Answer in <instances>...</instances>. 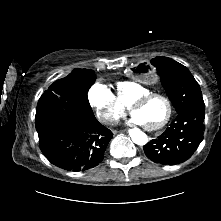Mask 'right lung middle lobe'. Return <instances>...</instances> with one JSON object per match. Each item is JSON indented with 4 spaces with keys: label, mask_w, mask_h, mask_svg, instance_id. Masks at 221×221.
Returning a JSON list of instances; mask_svg holds the SVG:
<instances>
[{
    "label": "right lung middle lobe",
    "mask_w": 221,
    "mask_h": 221,
    "mask_svg": "<svg viewBox=\"0 0 221 221\" xmlns=\"http://www.w3.org/2000/svg\"><path fill=\"white\" fill-rule=\"evenodd\" d=\"M95 80L92 70H82L55 81L39 99L35 126L38 135L48 133L69 120L88 123L96 118L87 98Z\"/></svg>",
    "instance_id": "right-lung-middle-lobe-1"
}]
</instances>
